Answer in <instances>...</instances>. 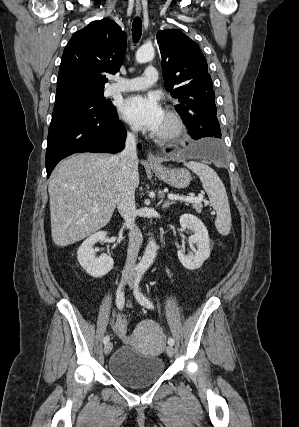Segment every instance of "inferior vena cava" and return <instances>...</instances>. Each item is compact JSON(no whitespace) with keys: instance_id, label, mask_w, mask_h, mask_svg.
<instances>
[{"instance_id":"obj_1","label":"inferior vena cava","mask_w":299,"mask_h":427,"mask_svg":"<svg viewBox=\"0 0 299 427\" xmlns=\"http://www.w3.org/2000/svg\"><path fill=\"white\" fill-rule=\"evenodd\" d=\"M116 157L120 160L117 206L129 229V245L124 272H130L135 266L143 241L142 233L135 224L137 213L134 194L138 168L135 133L127 134L125 148Z\"/></svg>"}]
</instances>
